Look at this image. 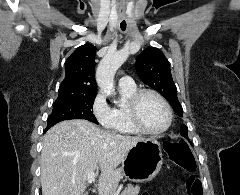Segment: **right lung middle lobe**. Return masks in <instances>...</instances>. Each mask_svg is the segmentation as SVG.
<instances>
[{"label": "right lung middle lobe", "mask_w": 240, "mask_h": 195, "mask_svg": "<svg viewBox=\"0 0 240 195\" xmlns=\"http://www.w3.org/2000/svg\"><path fill=\"white\" fill-rule=\"evenodd\" d=\"M96 96H63L58 97L54 103L53 111L49 117L47 131L49 128L69 119H85L98 124L92 109Z\"/></svg>", "instance_id": "dd1d6c3e"}]
</instances>
